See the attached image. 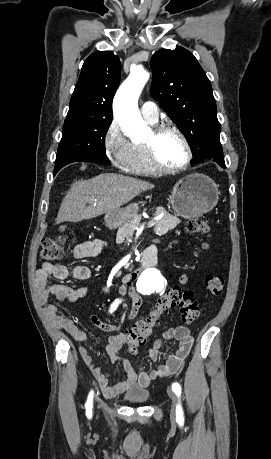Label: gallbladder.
<instances>
[{
  "label": "gallbladder",
  "instance_id": "bac80fb5",
  "mask_svg": "<svg viewBox=\"0 0 271 459\" xmlns=\"http://www.w3.org/2000/svg\"><path fill=\"white\" fill-rule=\"evenodd\" d=\"M65 228L66 226H60V231H64Z\"/></svg>",
  "mask_w": 271,
  "mask_h": 459
}]
</instances>
